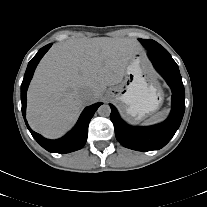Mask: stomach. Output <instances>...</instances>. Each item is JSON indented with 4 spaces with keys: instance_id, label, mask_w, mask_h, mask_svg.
<instances>
[{
    "instance_id": "obj_1",
    "label": "stomach",
    "mask_w": 207,
    "mask_h": 207,
    "mask_svg": "<svg viewBox=\"0 0 207 207\" xmlns=\"http://www.w3.org/2000/svg\"><path fill=\"white\" fill-rule=\"evenodd\" d=\"M107 95L120 103L133 120L155 112L163 102L164 93L154 79L141 51L129 61L122 82L109 88Z\"/></svg>"
}]
</instances>
